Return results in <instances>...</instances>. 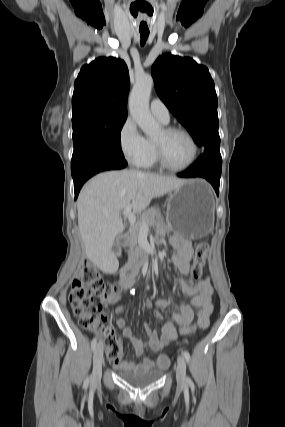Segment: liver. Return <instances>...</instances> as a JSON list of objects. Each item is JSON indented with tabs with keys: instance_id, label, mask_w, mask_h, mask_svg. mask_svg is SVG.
<instances>
[{
	"instance_id": "obj_1",
	"label": "liver",
	"mask_w": 285,
	"mask_h": 427,
	"mask_svg": "<svg viewBox=\"0 0 285 427\" xmlns=\"http://www.w3.org/2000/svg\"><path fill=\"white\" fill-rule=\"evenodd\" d=\"M186 180L137 170L103 172L89 180L78 200V226L87 258L104 268L115 261L112 246L124 230L120 212L131 204L143 211L155 197L179 188Z\"/></svg>"
}]
</instances>
